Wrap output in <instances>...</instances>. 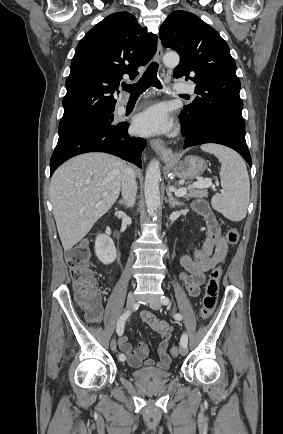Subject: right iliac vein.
Masks as SVG:
<instances>
[{
    "label": "right iliac vein",
    "mask_w": 283,
    "mask_h": 434,
    "mask_svg": "<svg viewBox=\"0 0 283 434\" xmlns=\"http://www.w3.org/2000/svg\"><path fill=\"white\" fill-rule=\"evenodd\" d=\"M135 305V296L134 294L131 292L129 293L128 297H127V302H126V309L127 311L131 310ZM110 348L113 352L116 351V341L115 339H112L110 342Z\"/></svg>",
    "instance_id": "1"
}]
</instances>
